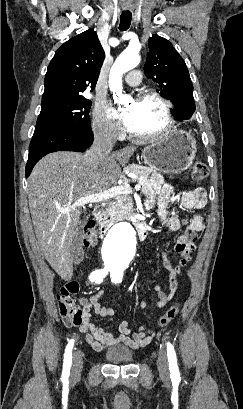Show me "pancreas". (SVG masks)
Masks as SVG:
<instances>
[{
  "instance_id": "pancreas-1",
  "label": "pancreas",
  "mask_w": 243,
  "mask_h": 409,
  "mask_svg": "<svg viewBox=\"0 0 243 409\" xmlns=\"http://www.w3.org/2000/svg\"><path fill=\"white\" fill-rule=\"evenodd\" d=\"M127 171L137 175L134 181H137L140 185L145 186L148 182L149 175L153 172L152 168L131 164L127 167ZM124 184L128 183V179H123ZM123 184V185H124ZM116 202L109 204L104 211V215L108 223H115L123 219L133 216L134 208L132 198L128 194H119L115 197Z\"/></svg>"
}]
</instances>
